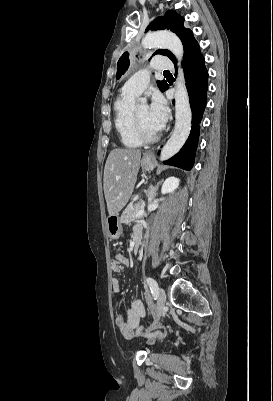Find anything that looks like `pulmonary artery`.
Segmentation results:
<instances>
[{
    "mask_svg": "<svg viewBox=\"0 0 273 401\" xmlns=\"http://www.w3.org/2000/svg\"><path fill=\"white\" fill-rule=\"evenodd\" d=\"M151 63L153 65L149 64L147 66L149 71L154 70L155 72H170L172 69H175V66H172L173 59L171 57L153 58ZM150 80L151 77L147 74V70L145 68H140L138 70V74H134L132 80L127 81L124 91L126 94L137 96L147 88Z\"/></svg>",
    "mask_w": 273,
    "mask_h": 401,
    "instance_id": "e3ab8cb5",
    "label": "pulmonary artery"
}]
</instances>
